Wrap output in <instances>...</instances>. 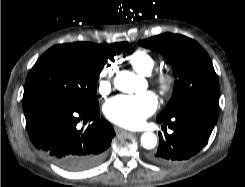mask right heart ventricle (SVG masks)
Instances as JSON below:
<instances>
[{
	"label": "right heart ventricle",
	"mask_w": 245,
	"mask_h": 187,
	"mask_svg": "<svg viewBox=\"0 0 245 187\" xmlns=\"http://www.w3.org/2000/svg\"><path fill=\"white\" fill-rule=\"evenodd\" d=\"M128 62L139 74L149 75L157 64L153 54L143 49H136L128 56Z\"/></svg>",
	"instance_id": "right-heart-ventricle-1"
}]
</instances>
